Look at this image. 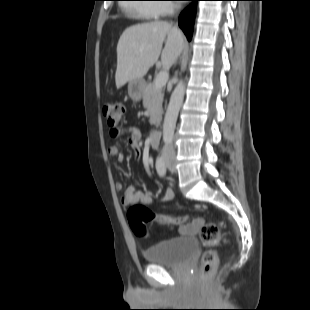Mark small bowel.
Wrapping results in <instances>:
<instances>
[{
    "label": "small bowel",
    "instance_id": "small-bowel-1",
    "mask_svg": "<svg viewBox=\"0 0 310 310\" xmlns=\"http://www.w3.org/2000/svg\"><path fill=\"white\" fill-rule=\"evenodd\" d=\"M110 135L114 138L126 136L128 143L134 149V159L139 161L142 157L141 152V134L136 127H127V128H110ZM108 152L113 156L118 162H123L125 160V154L116 146L110 145L108 147ZM123 187L121 182L116 183V188L121 190ZM175 197V193L172 189L167 188L164 190L163 194L160 197V200L163 202L171 201ZM141 202L143 204L149 205L153 202L152 195L148 193H143L139 191L134 185L128 186L123 196L121 197V204L125 207L131 206L135 203ZM194 231L193 226H182L180 228V233L184 235L192 234Z\"/></svg>",
    "mask_w": 310,
    "mask_h": 310
}]
</instances>
